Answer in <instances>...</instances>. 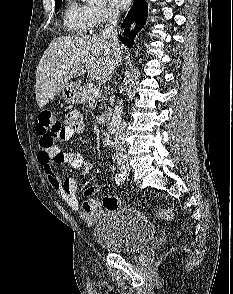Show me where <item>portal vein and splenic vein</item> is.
I'll return each instance as SVG.
<instances>
[{
    "label": "portal vein and splenic vein",
    "mask_w": 233,
    "mask_h": 294,
    "mask_svg": "<svg viewBox=\"0 0 233 294\" xmlns=\"http://www.w3.org/2000/svg\"><path fill=\"white\" fill-rule=\"evenodd\" d=\"M91 94H92V97L93 98H98L101 96L102 94V90L100 87H94L92 90H91Z\"/></svg>",
    "instance_id": "obj_1"
}]
</instances>
